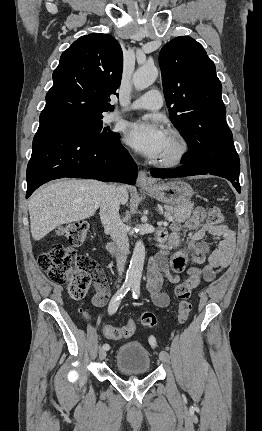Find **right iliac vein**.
<instances>
[{"mask_svg": "<svg viewBox=\"0 0 262 431\" xmlns=\"http://www.w3.org/2000/svg\"><path fill=\"white\" fill-rule=\"evenodd\" d=\"M99 358H100L101 360H103V359H105V358H106V351H105V349H103V348H100V349H99Z\"/></svg>", "mask_w": 262, "mask_h": 431, "instance_id": "right-iliac-vein-1", "label": "right iliac vein"}]
</instances>
